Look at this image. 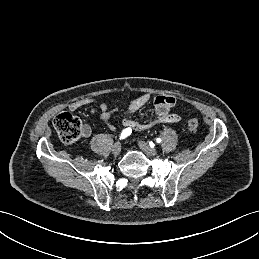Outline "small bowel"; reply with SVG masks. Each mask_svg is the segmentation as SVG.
I'll return each instance as SVG.
<instances>
[{"mask_svg":"<svg viewBox=\"0 0 259 259\" xmlns=\"http://www.w3.org/2000/svg\"><path fill=\"white\" fill-rule=\"evenodd\" d=\"M150 94L144 93L138 96L135 100H133L128 109L126 111V115L123 119V125L126 128H130L134 131H142L149 129L155 124L160 123H177L180 121L181 117L178 114L171 113L172 107L175 105V98L171 95H159L155 98V119L151 123L142 124L136 122L132 119V115H134L138 110H140L146 103L150 100ZM98 103V109L100 110V118L101 120L108 125L110 129H114V126L110 123V119L113 114L116 112L115 109H109L108 103L106 100H95L91 98L81 99L74 101L69 104V109L71 111H75L83 106ZM92 113L96 112V109L91 110ZM82 134L85 137L90 136L91 127L88 124H84L82 127Z\"/></svg>","mask_w":259,"mask_h":259,"instance_id":"small-bowel-1","label":"small bowel"}]
</instances>
